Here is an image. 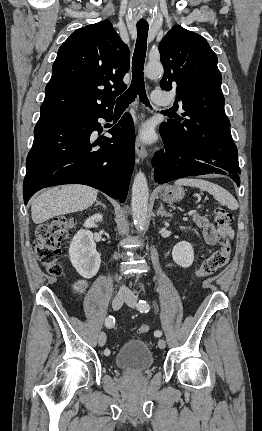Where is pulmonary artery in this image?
Instances as JSON below:
<instances>
[{"label": "pulmonary artery", "mask_w": 262, "mask_h": 431, "mask_svg": "<svg viewBox=\"0 0 262 431\" xmlns=\"http://www.w3.org/2000/svg\"><path fill=\"white\" fill-rule=\"evenodd\" d=\"M151 99L155 105H158V106L167 105V99L165 97V94L162 91H159V90L153 91L151 94Z\"/></svg>", "instance_id": "obj_1"}]
</instances>
